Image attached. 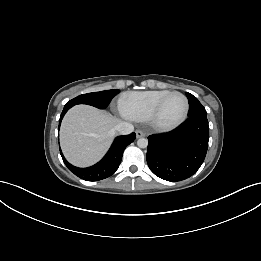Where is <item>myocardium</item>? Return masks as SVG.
Segmentation results:
<instances>
[{"instance_id":"myocardium-1","label":"myocardium","mask_w":261,"mask_h":261,"mask_svg":"<svg viewBox=\"0 0 261 261\" xmlns=\"http://www.w3.org/2000/svg\"><path fill=\"white\" fill-rule=\"evenodd\" d=\"M171 95H179V96H181L183 98L184 104H185L184 111H183L182 115L180 116V118L177 119L175 122L169 123V124H162V123L158 122V120H157L158 112H159L163 102L168 97H170ZM188 111H189V101H188L187 97L182 92H179V91H169L167 94L162 96L155 103V105L153 106V108L151 109V111H150V113L148 115L147 121L149 122L151 127L154 128L155 130H158V131H170V130H173V129L177 128L179 125H181L185 121V119H186V117L188 115Z\"/></svg>"}]
</instances>
